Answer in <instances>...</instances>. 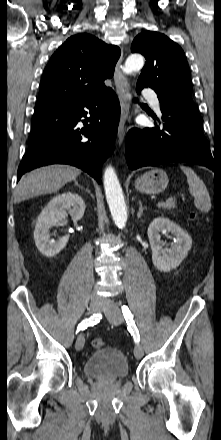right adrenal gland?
<instances>
[{"label": "right adrenal gland", "mask_w": 221, "mask_h": 440, "mask_svg": "<svg viewBox=\"0 0 221 440\" xmlns=\"http://www.w3.org/2000/svg\"><path fill=\"white\" fill-rule=\"evenodd\" d=\"M75 185H77L80 189H84L77 181H75Z\"/></svg>", "instance_id": "1"}]
</instances>
